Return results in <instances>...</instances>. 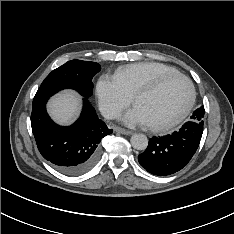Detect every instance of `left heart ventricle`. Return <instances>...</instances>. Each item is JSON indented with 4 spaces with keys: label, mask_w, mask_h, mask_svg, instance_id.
Wrapping results in <instances>:
<instances>
[{
    "label": "left heart ventricle",
    "mask_w": 234,
    "mask_h": 234,
    "mask_svg": "<svg viewBox=\"0 0 234 234\" xmlns=\"http://www.w3.org/2000/svg\"><path fill=\"white\" fill-rule=\"evenodd\" d=\"M190 92L181 79H172L157 91L141 96L136 106L150 125L161 124L177 117L186 107Z\"/></svg>",
    "instance_id": "1"
}]
</instances>
